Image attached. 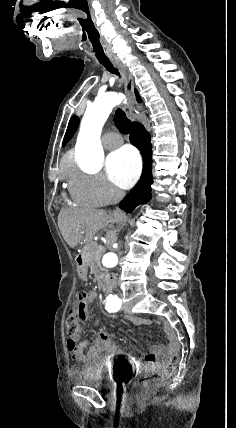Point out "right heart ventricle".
Listing matches in <instances>:
<instances>
[{"mask_svg":"<svg viewBox=\"0 0 236 428\" xmlns=\"http://www.w3.org/2000/svg\"><path fill=\"white\" fill-rule=\"evenodd\" d=\"M71 168H74V165H73V164H71Z\"/></svg>","mask_w":236,"mask_h":428,"instance_id":"1","label":"right heart ventricle"}]
</instances>
